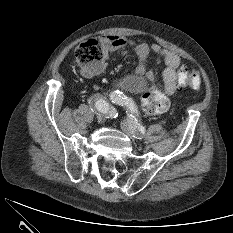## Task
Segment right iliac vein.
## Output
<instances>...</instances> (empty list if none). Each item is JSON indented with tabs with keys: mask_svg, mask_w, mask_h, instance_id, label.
<instances>
[{
	"mask_svg": "<svg viewBox=\"0 0 233 233\" xmlns=\"http://www.w3.org/2000/svg\"><path fill=\"white\" fill-rule=\"evenodd\" d=\"M97 121L98 123H102L104 121V115L103 114H97Z\"/></svg>",
	"mask_w": 233,
	"mask_h": 233,
	"instance_id": "1",
	"label": "right iliac vein"
}]
</instances>
